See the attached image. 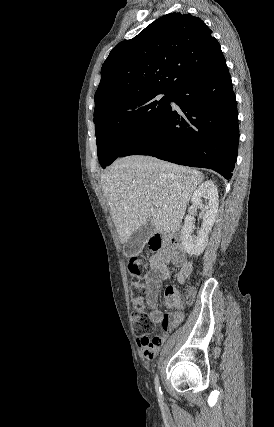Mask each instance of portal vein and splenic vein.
<instances>
[{
  "label": "portal vein and splenic vein",
  "mask_w": 274,
  "mask_h": 427,
  "mask_svg": "<svg viewBox=\"0 0 274 427\" xmlns=\"http://www.w3.org/2000/svg\"><path fill=\"white\" fill-rule=\"evenodd\" d=\"M155 206H161L160 202H155Z\"/></svg>",
  "instance_id": "obj_1"
}]
</instances>
